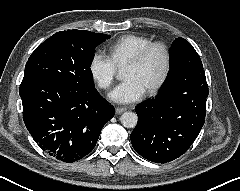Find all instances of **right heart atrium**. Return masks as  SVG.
<instances>
[{
    "label": "right heart atrium",
    "mask_w": 240,
    "mask_h": 191,
    "mask_svg": "<svg viewBox=\"0 0 240 191\" xmlns=\"http://www.w3.org/2000/svg\"><path fill=\"white\" fill-rule=\"evenodd\" d=\"M89 72L101 89L108 90L114 81L116 66L107 55L98 52L90 59Z\"/></svg>",
    "instance_id": "1"
}]
</instances>
